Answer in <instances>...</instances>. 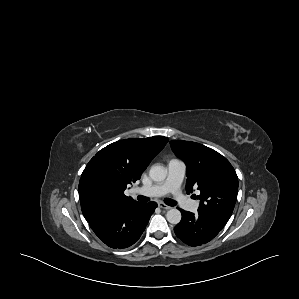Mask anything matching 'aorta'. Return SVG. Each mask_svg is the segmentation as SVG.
<instances>
[{"instance_id":"aorta-1","label":"aorta","mask_w":299,"mask_h":299,"mask_svg":"<svg viewBox=\"0 0 299 299\" xmlns=\"http://www.w3.org/2000/svg\"><path fill=\"white\" fill-rule=\"evenodd\" d=\"M166 175H167V172L162 166L153 165L150 168L149 176L154 182L164 181L166 178ZM181 217H182L181 212L176 208L170 209L169 211H167V214H166L167 221L169 223L175 224V225L181 221Z\"/></svg>"}]
</instances>
